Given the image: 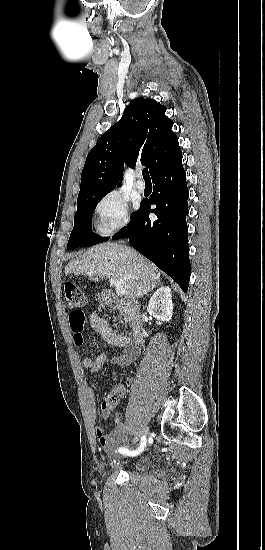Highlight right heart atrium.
Segmentation results:
<instances>
[{
	"mask_svg": "<svg viewBox=\"0 0 265 550\" xmlns=\"http://www.w3.org/2000/svg\"><path fill=\"white\" fill-rule=\"evenodd\" d=\"M95 212L103 235H112L128 225L129 204L118 190L105 194L96 204Z\"/></svg>",
	"mask_w": 265,
	"mask_h": 550,
	"instance_id": "obj_1",
	"label": "right heart atrium"
}]
</instances>
